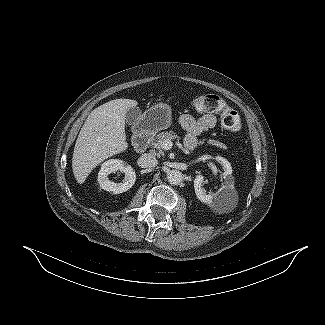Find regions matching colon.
Masks as SVG:
<instances>
[{
  "label": "colon",
  "mask_w": 325,
  "mask_h": 325,
  "mask_svg": "<svg viewBox=\"0 0 325 325\" xmlns=\"http://www.w3.org/2000/svg\"><path fill=\"white\" fill-rule=\"evenodd\" d=\"M192 105L197 112L219 114L222 125L231 132H237L241 128V119L238 112L218 95L204 94L197 96L192 100Z\"/></svg>",
  "instance_id": "1"
}]
</instances>
